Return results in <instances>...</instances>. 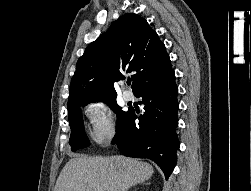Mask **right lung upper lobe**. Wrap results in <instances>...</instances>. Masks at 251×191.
<instances>
[{
    "label": "right lung upper lobe",
    "mask_w": 251,
    "mask_h": 191,
    "mask_svg": "<svg viewBox=\"0 0 251 191\" xmlns=\"http://www.w3.org/2000/svg\"><path fill=\"white\" fill-rule=\"evenodd\" d=\"M131 73L135 94L173 73L157 33L137 14L127 13L89 44L78 59L70 84L68 108L116 99L114 82Z\"/></svg>",
    "instance_id": "1"
}]
</instances>
